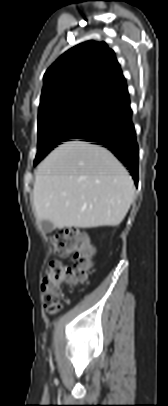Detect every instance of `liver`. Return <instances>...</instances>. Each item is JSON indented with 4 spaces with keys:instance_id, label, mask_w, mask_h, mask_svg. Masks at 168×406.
Returning <instances> with one entry per match:
<instances>
[{
    "instance_id": "6515ba94",
    "label": "liver",
    "mask_w": 168,
    "mask_h": 406,
    "mask_svg": "<svg viewBox=\"0 0 168 406\" xmlns=\"http://www.w3.org/2000/svg\"><path fill=\"white\" fill-rule=\"evenodd\" d=\"M133 199L131 176L99 145L67 141L37 167L36 218L50 221L55 228L117 226Z\"/></svg>"
}]
</instances>
